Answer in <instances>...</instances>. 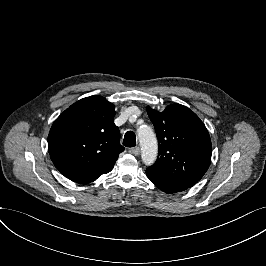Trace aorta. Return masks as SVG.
Returning <instances> with one entry per match:
<instances>
[{"instance_id":"1","label":"aorta","mask_w":266,"mask_h":266,"mask_svg":"<svg viewBox=\"0 0 266 266\" xmlns=\"http://www.w3.org/2000/svg\"><path fill=\"white\" fill-rule=\"evenodd\" d=\"M137 134L139 142L142 146L141 160L142 163L147 166H153L157 160L158 155V143L153 129L149 125H141L137 128ZM151 146H148V144Z\"/></svg>"}]
</instances>
